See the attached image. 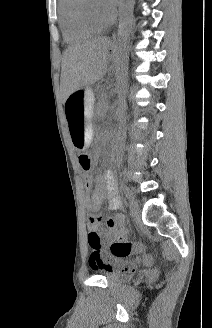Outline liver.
I'll list each match as a JSON object with an SVG mask.
<instances>
[{"mask_svg": "<svg viewBox=\"0 0 212 328\" xmlns=\"http://www.w3.org/2000/svg\"><path fill=\"white\" fill-rule=\"evenodd\" d=\"M111 41L99 37L65 50L62 59L61 92L64 101L74 91L93 85L107 71Z\"/></svg>", "mask_w": 212, "mask_h": 328, "instance_id": "1", "label": "liver"}]
</instances>
